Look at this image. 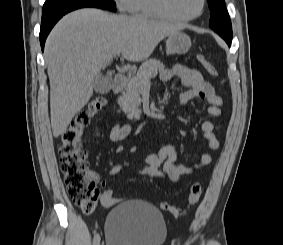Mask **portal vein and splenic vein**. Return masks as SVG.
Returning <instances> with one entry per match:
<instances>
[{
	"instance_id": "obj_1",
	"label": "portal vein and splenic vein",
	"mask_w": 283,
	"mask_h": 245,
	"mask_svg": "<svg viewBox=\"0 0 283 245\" xmlns=\"http://www.w3.org/2000/svg\"><path fill=\"white\" fill-rule=\"evenodd\" d=\"M119 55H120V52H117V53H116V56H119ZM147 83H148V82H147Z\"/></svg>"
}]
</instances>
